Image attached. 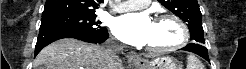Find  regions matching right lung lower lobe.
<instances>
[{
  "mask_svg": "<svg viewBox=\"0 0 246 69\" xmlns=\"http://www.w3.org/2000/svg\"><path fill=\"white\" fill-rule=\"evenodd\" d=\"M106 28L98 31H82L78 29H44L40 30L35 55H37L48 44L63 38H75L89 43H102L108 38Z\"/></svg>",
  "mask_w": 246,
  "mask_h": 69,
  "instance_id": "1",
  "label": "right lung lower lobe"
}]
</instances>
